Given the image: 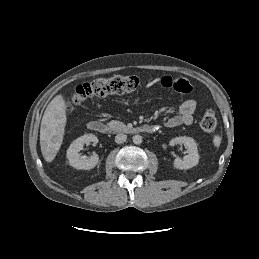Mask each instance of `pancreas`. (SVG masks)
Segmentation results:
<instances>
[{"label":"pancreas","instance_id":"cf45deb5","mask_svg":"<svg viewBox=\"0 0 259 259\" xmlns=\"http://www.w3.org/2000/svg\"><path fill=\"white\" fill-rule=\"evenodd\" d=\"M107 125H108L109 129L114 132L127 131V129H128L124 123H122L120 121H116V120L110 121Z\"/></svg>","mask_w":259,"mask_h":259}]
</instances>
